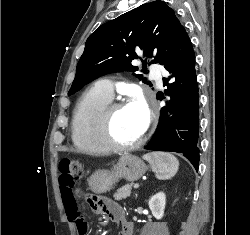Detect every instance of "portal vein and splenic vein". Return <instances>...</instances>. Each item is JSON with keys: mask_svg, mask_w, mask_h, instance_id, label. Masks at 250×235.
<instances>
[{"mask_svg": "<svg viewBox=\"0 0 250 235\" xmlns=\"http://www.w3.org/2000/svg\"><path fill=\"white\" fill-rule=\"evenodd\" d=\"M138 188H139V184H135L134 189H138Z\"/></svg>", "mask_w": 250, "mask_h": 235, "instance_id": "portal-vein-and-splenic-vein-1", "label": "portal vein and splenic vein"}]
</instances>
